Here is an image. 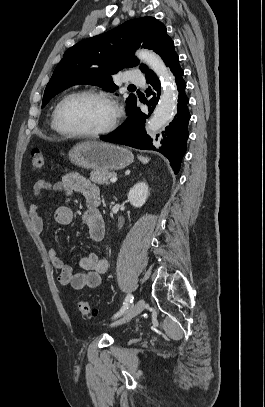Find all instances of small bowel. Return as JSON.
<instances>
[{"label": "small bowel", "instance_id": "c3829d8e", "mask_svg": "<svg viewBox=\"0 0 265 407\" xmlns=\"http://www.w3.org/2000/svg\"><path fill=\"white\" fill-rule=\"evenodd\" d=\"M45 191L62 192L69 195L73 192L81 193L87 202V208L82 213L81 222L86 227L89 238L99 242L104 238L105 225L100 212L91 205L92 200L100 199L99 188L96 184L81 176L79 173L71 172L65 174L60 181L50 183L38 180L33 186V193L37 201L29 208L31 226L37 235L44 231L43 219L38 213L39 204L43 199ZM55 219L60 224H70L73 221L72 210L64 205L57 207ZM49 259L59 271L58 281L64 286H71L79 290L83 288H95L101 282V276L108 270V261L95 253H89L79 260V266L83 272L75 273L70 263L63 260L57 249L53 246L48 251Z\"/></svg>", "mask_w": 265, "mask_h": 407}]
</instances>
